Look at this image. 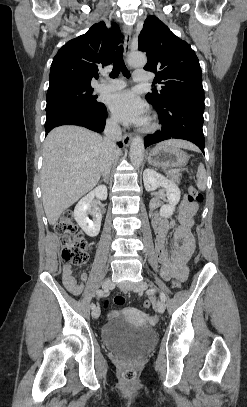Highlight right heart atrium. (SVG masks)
Returning a JSON list of instances; mask_svg holds the SVG:
<instances>
[{
  "instance_id": "1",
  "label": "right heart atrium",
  "mask_w": 247,
  "mask_h": 407,
  "mask_svg": "<svg viewBox=\"0 0 247 407\" xmlns=\"http://www.w3.org/2000/svg\"><path fill=\"white\" fill-rule=\"evenodd\" d=\"M108 122H109L110 125L116 126V122H115L114 119L110 118V119L108 120Z\"/></svg>"
}]
</instances>
